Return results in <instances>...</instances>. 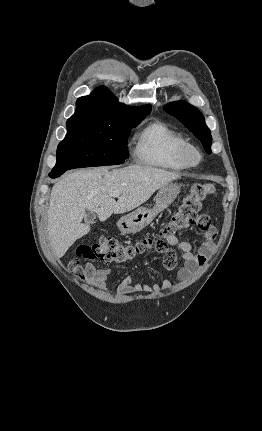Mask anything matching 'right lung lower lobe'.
Here are the masks:
<instances>
[{
	"label": "right lung lower lobe",
	"instance_id": "obj_1",
	"mask_svg": "<svg viewBox=\"0 0 262 431\" xmlns=\"http://www.w3.org/2000/svg\"><path fill=\"white\" fill-rule=\"evenodd\" d=\"M65 171H61V172H51L49 173V177L51 178H56L58 176H60L61 174H63Z\"/></svg>",
	"mask_w": 262,
	"mask_h": 431
}]
</instances>
